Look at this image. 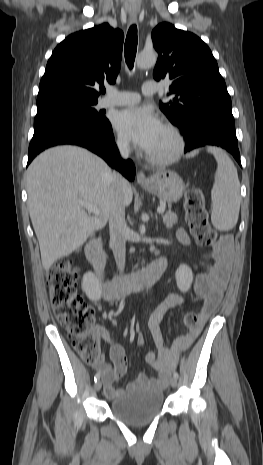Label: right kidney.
Wrapping results in <instances>:
<instances>
[{
	"instance_id": "ca27d5eb",
	"label": "right kidney",
	"mask_w": 263,
	"mask_h": 465,
	"mask_svg": "<svg viewBox=\"0 0 263 465\" xmlns=\"http://www.w3.org/2000/svg\"><path fill=\"white\" fill-rule=\"evenodd\" d=\"M82 288L90 300H100L102 294V285L99 279L92 272H88L84 275Z\"/></svg>"
}]
</instances>
